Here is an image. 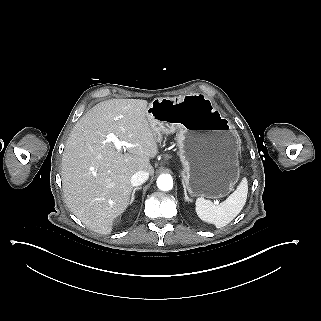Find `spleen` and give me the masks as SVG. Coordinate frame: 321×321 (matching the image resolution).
Listing matches in <instances>:
<instances>
[{"label": "spleen", "instance_id": "obj_1", "mask_svg": "<svg viewBox=\"0 0 321 321\" xmlns=\"http://www.w3.org/2000/svg\"><path fill=\"white\" fill-rule=\"evenodd\" d=\"M247 198V182L244 178L237 189L219 206L198 198L195 203L197 216L204 222L221 228L229 224L243 209Z\"/></svg>", "mask_w": 321, "mask_h": 321}]
</instances>
